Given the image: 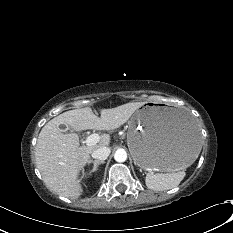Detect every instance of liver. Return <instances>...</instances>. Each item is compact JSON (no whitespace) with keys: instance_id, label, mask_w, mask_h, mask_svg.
<instances>
[{"instance_id":"1","label":"liver","mask_w":233,"mask_h":233,"mask_svg":"<svg viewBox=\"0 0 233 233\" xmlns=\"http://www.w3.org/2000/svg\"><path fill=\"white\" fill-rule=\"evenodd\" d=\"M145 102H130L115 108L101 110L96 116L89 107L64 112L50 120L41 130L36 148L35 161L46 187L53 193L77 199L82 193L79 173L88 163L90 154L110 144V136L100 137L99 143L80 146L76 133L64 134L60 125L75 131L87 129L114 130L126 123Z\"/></svg>"}]
</instances>
